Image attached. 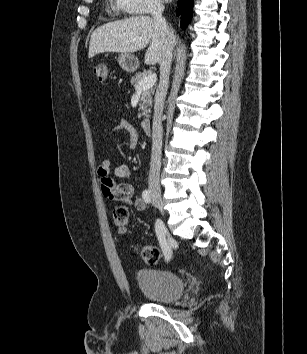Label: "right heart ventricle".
Instances as JSON below:
<instances>
[{"mask_svg": "<svg viewBox=\"0 0 307 354\" xmlns=\"http://www.w3.org/2000/svg\"><path fill=\"white\" fill-rule=\"evenodd\" d=\"M116 8H117V9H122V8L119 6L117 0H116Z\"/></svg>", "mask_w": 307, "mask_h": 354, "instance_id": "right-heart-ventricle-1", "label": "right heart ventricle"}]
</instances>
